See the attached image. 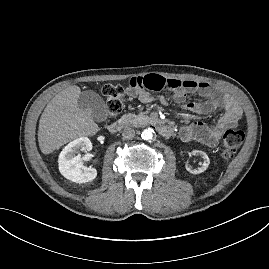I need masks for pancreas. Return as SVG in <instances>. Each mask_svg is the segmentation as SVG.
Returning a JSON list of instances; mask_svg holds the SVG:
<instances>
[{"label": "pancreas", "instance_id": "pancreas-1", "mask_svg": "<svg viewBox=\"0 0 269 269\" xmlns=\"http://www.w3.org/2000/svg\"><path fill=\"white\" fill-rule=\"evenodd\" d=\"M148 116L144 114H124L120 121L127 126L140 127L147 123Z\"/></svg>", "mask_w": 269, "mask_h": 269}]
</instances>
